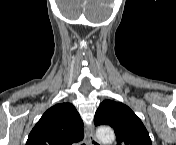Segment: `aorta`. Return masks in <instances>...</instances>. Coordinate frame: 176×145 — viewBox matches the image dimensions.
Wrapping results in <instances>:
<instances>
[{
    "mask_svg": "<svg viewBox=\"0 0 176 145\" xmlns=\"http://www.w3.org/2000/svg\"><path fill=\"white\" fill-rule=\"evenodd\" d=\"M97 138L104 144H110L115 140V134L109 127H100L96 131Z\"/></svg>",
    "mask_w": 176,
    "mask_h": 145,
    "instance_id": "obj_1",
    "label": "aorta"
}]
</instances>
